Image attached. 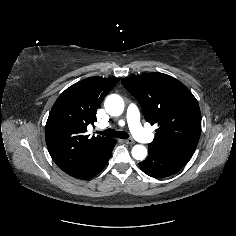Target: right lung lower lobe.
Segmentation results:
<instances>
[{
	"label": "right lung lower lobe",
	"instance_id": "1",
	"mask_svg": "<svg viewBox=\"0 0 236 236\" xmlns=\"http://www.w3.org/2000/svg\"><path fill=\"white\" fill-rule=\"evenodd\" d=\"M116 140H110L93 156V158L78 172L71 175L74 178L85 180L97 175L107 164L112 155Z\"/></svg>",
	"mask_w": 236,
	"mask_h": 236
}]
</instances>
